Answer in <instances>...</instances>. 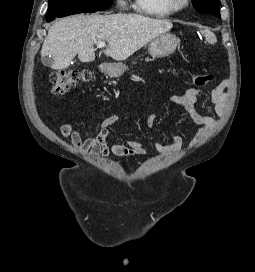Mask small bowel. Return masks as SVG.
<instances>
[{
  "label": "small bowel",
  "instance_id": "small-bowel-1",
  "mask_svg": "<svg viewBox=\"0 0 255 272\" xmlns=\"http://www.w3.org/2000/svg\"><path fill=\"white\" fill-rule=\"evenodd\" d=\"M229 81L224 80L222 83L214 87L210 93V101L214 106L215 116L205 115L196 109V104L201 95V90L197 88L187 89L184 93H174L170 96V100L184 109L189 115L192 123L197 126L195 141L201 140L209 131L213 129L223 116L227 104L226 89ZM121 116L113 114L105 117L101 124L97 135L93 138L83 140L81 131L75 129L71 123H65L61 126L60 132L64 138L70 139L72 144L83 153L89 154L91 157H108L112 156H136L147 155V146L138 141H126L125 143H116L109 145L108 141L112 138L109 127L120 122ZM157 120V113L150 110L146 119V125L152 129ZM183 136L176 134L163 142H155L154 148L158 152H176L183 145Z\"/></svg>",
  "mask_w": 255,
  "mask_h": 272
}]
</instances>
